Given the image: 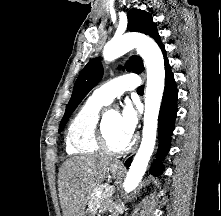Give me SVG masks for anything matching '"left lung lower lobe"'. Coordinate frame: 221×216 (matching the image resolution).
<instances>
[{
  "mask_svg": "<svg viewBox=\"0 0 221 216\" xmlns=\"http://www.w3.org/2000/svg\"><path fill=\"white\" fill-rule=\"evenodd\" d=\"M160 48L164 55L165 60V88L163 99L160 107L158 118V134H159V147L156 154V158L150 168V173L159 176L162 173V163L166 153L170 149V139L174 131L175 118L177 113V88L174 80L173 73L171 71L169 61L166 56L164 45L161 43ZM131 158L126 161V165L129 166Z\"/></svg>",
  "mask_w": 221,
  "mask_h": 216,
  "instance_id": "left-lung-lower-lobe-1",
  "label": "left lung lower lobe"
}]
</instances>
